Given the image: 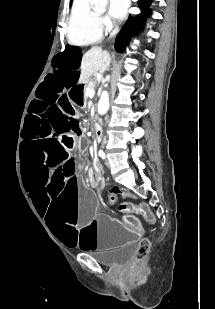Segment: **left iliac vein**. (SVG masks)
<instances>
[{
    "label": "left iliac vein",
    "mask_w": 215,
    "mask_h": 309,
    "mask_svg": "<svg viewBox=\"0 0 215 309\" xmlns=\"http://www.w3.org/2000/svg\"><path fill=\"white\" fill-rule=\"evenodd\" d=\"M106 165H107V166H109V162H108V160H106Z\"/></svg>",
    "instance_id": "4c4485c4"
}]
</instances>
